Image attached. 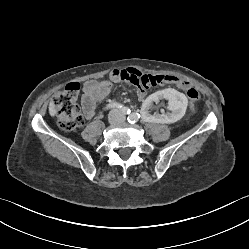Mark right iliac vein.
Listing matches in <instances>:
<instances>
[{
	"label": "right iliac vein",
	"mask_w": 249,
	"mask_h": 249,
	"mask_svg": "<svg viewBox=\"0 0 249 249\" xmlns=\"http://www.w3.org/2000/svg\"><path fill=\"white\" fill-rule=\"evenodd\" d=\"M119 120H120V115H119L118 111H113L110 113V115L108 117V122L111 125H115Z\"/></svg>",
	"instance_id": "right-iliac-vein-1"
}]
</instances>
